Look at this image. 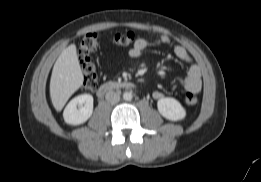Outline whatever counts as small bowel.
Masks as SVG:
<instances>
[{
    "instance_id": "small-bowel-1",
    "label": "small bowel",
    "mask_w": 261,
    "mask_h": 182,
    "mask_svg": "<svg viewBox=\"0 0 261 182\" xmlns=\"http://www.w3.org/2000/svg\"><path fill=\"white\" fill-rule=\"evenodd\" d=\"M154 43L158 44H170L171 40L166 35H160L153 40L146 38H139L135 41L133 46L129 50V55L132 58H138L142 55L143 51ZM174 55L182 62L188 64V69L184 79V89L187 92L199 93L202 89V79L200 68L192 64V59L186 49L179 44L173 45ZM164 94L160 91H156L153 94L155 99H161Z\"/></svg>"
}]
</instances>
